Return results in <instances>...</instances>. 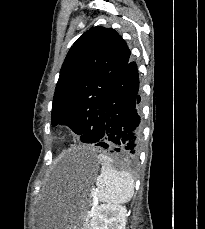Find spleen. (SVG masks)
<instances>
[{
  "label": "spleen",
  "mask_w": 205,
  "mask_h": 229,
  "mask_svg": "<svg viewBox=\"0 0 205 229\" xmlns=\"http://www.w3.org/2000/svg\"><path fill=\"white\" fill-rule=\"evenodd\" d=\"M98 159L102 169L96 178L97 189L94 197L108 204L128 202L134 193L133 177L127 172L115 170L107 156L101 154Z\"/></svg>",
  "instance_id": "spleen-1"
}]
</instances>
